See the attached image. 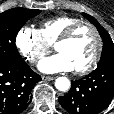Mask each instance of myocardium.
<instances>
[{"mask_svg":"<svg viewBox=\"0 0 114 114\" xmlns=\"http://www.w3.org/2000/svg\"><path fill=\"white\" fill-rule=\"evenodd\" d=\"M81 27H88L94 34L95 38H96V49L94 52V55L92 57V59L90 60V62L85 65L82 68L79 69H75V73L78 75H84L89 73L90 71H92L98 64L99 59L101 57V53L103 50V39L101 37V34L99 32V30L96 28L95 25H93L92 23H90L89 21H85V20H80L72 25H70L56 40L55 42V49L56 46L60 43L66 42L68 40H70L74 34L76 33V31L81 28Z\"/></svg>","mask_w":114,"mask_h":114,"instance_id":"myocardium-1","label":"myocardium"}]
</instances>
